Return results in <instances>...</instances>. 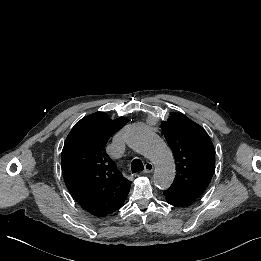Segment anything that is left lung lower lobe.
Listing matches in <instances>:
<instances>
[{"label":"left lung lower lobe","mask_w":261,"mask_h":261,"mask_svg":"<svg viewBox=\"0 0 261 261\" xmlns=\"http://www.w3.org/2000/svg\"><path fill=\"white\" fill-rule=\"evenodd\" d=\"M164 195L167 198V202L173 206L187 207L196 201V198L184 195L170 188L164 191Z\"/></svg>","instance_id":"left-lung-lower-lobe-1"}]
</instances>
